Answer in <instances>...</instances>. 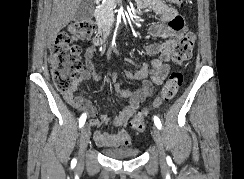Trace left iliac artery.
<instances>
[{
	"label": "left iliac artery",
	"mask_w": 244,
	"mask_h": 179,
	"mask_svg": "<svg viewBox=\"0 0 244 179\" xmlns=\"http://www.w3.org/2000/svg\"><path fill=\"white\" fill-rule=\"evenodd\" d=\"M154 123H155V125L157 126L158 129H161L162 124H161L160 119L157 116H154Z\"/></svg>",
	"instance_id": "44dca946"
}]
</instances>
